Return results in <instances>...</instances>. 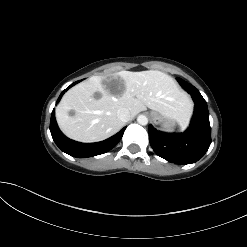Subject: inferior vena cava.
<instances>
[{
    "instance_id": "1",
    "label": "inferior vena cava",
    "mask_w": 247,
    "mask_h": 247,
    "mask_svg": "<svg viewBox=\"0 0 247 247\" xmlns=\"http://www.w3.org/2000/svg\"><path fill=\"white\" fill-rule=\"evenodd\" d=\"M117 117L122 121V122H127L130 120L131 115L130 111L127 108H120L117 111Z\"/></svg>"
}]
</instances>
